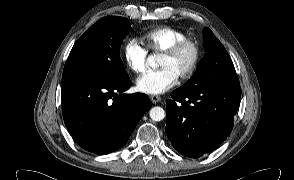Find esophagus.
Returning a JSON list of instances; mask_svg holds the SVG:
<instances>
[{
    "mask_svg": "<svg viewBox=\"0 0 294 180\" xmlns=\"http://www.w3.org/2000/svg\"><path fill=\"white\" fill-rule=\"evenodd\" d=\"M150 99H151L152 103H154V104H156V103H158V102L161 101V97L158 96V95H151L150 96Z\"/></svg>",
    "mask_w": 294,
    "mask_h": 180,
    "instance_id": "34e87169",
    "label": "esophagus"
}]
</instances>
